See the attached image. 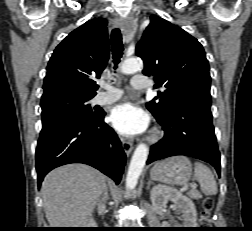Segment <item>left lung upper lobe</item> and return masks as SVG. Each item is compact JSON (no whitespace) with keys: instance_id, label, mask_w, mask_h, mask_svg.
Returning <instances> with one entry per match:
<instances>
[{"instance_id":"obj_1","label":"left lung upper lobe","mask_w":252,"mask_h":231,"mask_svg":"<svg viewBox=\"0 0 252 231\" xmlns=\"http://www.w3.org/2000/svg\"><path fill=\"white\" fill-rule=\"evenodd\" d=\"M150 19L136 55L144 61L143 73L154 76L155 87L166 90L147 104L149 111L161 117L174 101L187 97L211 102L209 64L202 45L179 26L158 16Z\"/></svg>"}]
</instances>
